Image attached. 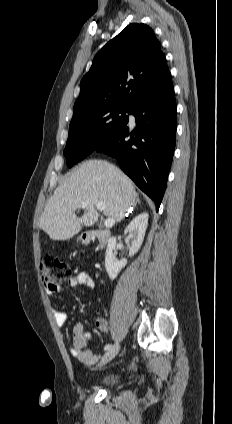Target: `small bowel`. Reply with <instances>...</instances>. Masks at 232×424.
<instances>
[{
	"mask_svg": "<svg viewBox=\"0 0 232 424\" xmlns=\"http://www.w3.org/2000/svg\"><path fill=\"white\" fill-rule=\"evenodd\" d=\"M69 285L72 288L85 287L93 289L95 287V281L92 275L88 271H79L69 280ZM62 290V286H57L55 289H49L50 294H57ZM53 316L58 325H64L68 320V315L62 310H53ZM97 327L104 333L109 332V327L104 318L96 319ZM73 344L70 347V354L78 359L85 365H93L98 360V355L86 348L87 343L90 339V334L84 331L83 326L80 323H76L72 328Z\"/></svg>",
	"mask_w": 232,
	"mask_h": 424,
	"instance_id": "small-bowel-1",
	"label": "small bowel"
}]
</instances>
